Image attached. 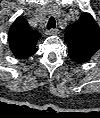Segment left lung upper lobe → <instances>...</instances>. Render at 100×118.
<instances>
[{"mask_svg":"<svg viewBox=\"0 0 100 118\" xmlns=\"http://www.w3.org/2000/svg\"><path fill=\"white\" fill-rule=\"evenodd\" d=\"M65 42L70 58L77 63L87 62L95 54L100 47V29L89 13H82L67 27Z\"/></svg>","mask_w":100,"mask_h":118,"instance_id":"obj_1","label":"left lung upper lobe"}]
</instances>
